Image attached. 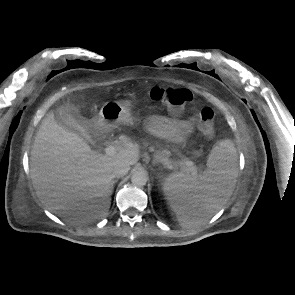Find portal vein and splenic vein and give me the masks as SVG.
<instances>
[{"instance_id": "18ae733b", "label": "portal vein and splenic vein", "mask_w": 295, "mask_h": 295, "mask_svg": "<svg viewBox=\"0 0 295 295\" xmlns=\"http://www.w3.org/2000/svg\"><path fill=\"white\" fill-rule=\"evenodd\" d=\"M105 153L108 156H112V155L116 154V148L112 145H109L108 147H106ZM165 164L170 167L172 166L171 163L167 160H165ZM181 165H183L187 170L192 172L193 175H195L197 173V168L192 161H183V162H181Z\"/></svg>"}]
</instances>
